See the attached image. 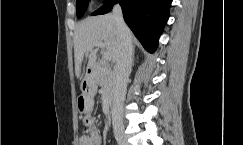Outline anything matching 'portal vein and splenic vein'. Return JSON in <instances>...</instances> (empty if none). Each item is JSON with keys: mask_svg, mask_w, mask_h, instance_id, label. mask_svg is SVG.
<instances>
[{"mask_svg": "<svg viewBox=\"0 0 243 145\" xmlns=\"http://www.w3.org/2000/svg\"><path fill=\"white\" fill-rule=\"evenodd\" d=\"M93 45L96 46V47H100V48H102V49L105 48V44H104L103 42H101V41H99V42H95ZM103 57H104V59L107 60V61H110V60L112 59V55H111V53L108 52V51H104V52H103Z\"/></svg>", "mask_w": 243, "mask_h": 145, "instance_id": "obj_1", "label": "portal vein and splenic vein"}]
</instances>
